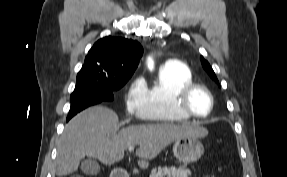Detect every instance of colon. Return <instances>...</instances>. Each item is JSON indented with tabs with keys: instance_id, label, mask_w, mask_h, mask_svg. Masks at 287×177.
<instances>
[{
	"instance_id": "1",
	"label": "colon",
	"mask_w": 287,
	"mask_h": 177,
	"mask_svg": "<svg viewBox=\"0 0 287 177\" xmlns=\"http://www.w3.org/2000/svg\"><path fill=\"white\" fill-rule=\"evenodd\" d=\"M74 177H81V176H74ZM205 177H214L213 175H207Z\"/></svg>"
}]
</instances>
